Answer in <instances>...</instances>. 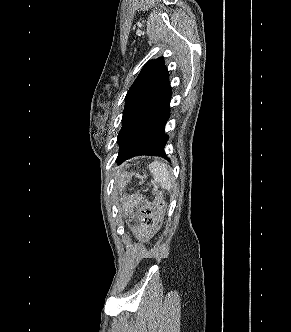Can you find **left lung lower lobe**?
I'll return each instance as SVG.
<instances>
[{
	"instance_id": "obj_1",
	"label": "left lung lower lobe",
	"mask_w": 291,
	"mask_h": 332,
	"mask_svg": "<svg viewBox=\"0 0 291 332\" xmlns=\"http://www.w3.org/2000/svg\"><path fill=\"white\" fill-rule=\"evenodd\" d=\"M171 88L170 83L155 98L150 100L139 120V127L129 142L120 148L116 162L139 154L161 155L165 157V144L168 137L165 125L170 116Z\"/></svg>"
}]
</instances>
